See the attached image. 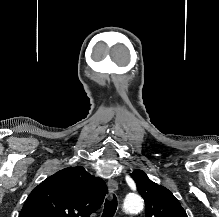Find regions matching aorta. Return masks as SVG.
Returning a JSON list of instances; mask_svg holds the SVG:
<instances>
[{
	"instance_id": "762f6f07",
	"label": "aorta",
	"mask_w": 219,
	"mask_h": 217,
	"mask_svg": "<svg viewBox=\"0 0 219 217\" xmlns=\"http://www.w3.org/2000/svg\"><path fill=\"white\" fill-rule=\"evenodd\" d=\"M144 207L143 199L139 195L127 196L124 201V209L128 213L140 212Z\"/></svg>"
}]
</instances>
